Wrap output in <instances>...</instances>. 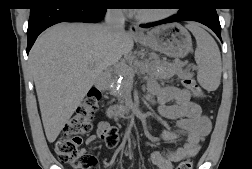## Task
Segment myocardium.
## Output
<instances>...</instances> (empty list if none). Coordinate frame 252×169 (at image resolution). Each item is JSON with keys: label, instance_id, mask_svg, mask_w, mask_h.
Here are the masks:
<instances>
[{"label": "myocardium", "instance_id": "1", "mask_svg": "<svg viewBox=\"0 0 252 169\" xmlns=\"http://www.w3.org/2000/svg\"><path fill=\"white\" fill-rule=\"evenodd\" d=\"M135 15H136V18L139 19L140 21L153 22V21H157V20H160V19L167 17L168 12L163 11V12H160L157 14H141L139 12H136Z\"/></svg>", "mask_w": 252, "mask_h": 169}]
</instances>
